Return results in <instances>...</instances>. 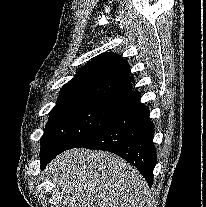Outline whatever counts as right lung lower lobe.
Masks as SVG:
<instances>
[{
  "mask_svg": "<svg viewBox=\"0 0 206 207\" xmlns=\"http://www.w3.org/2000/svg\"><path fill=\"white\" fill-rule=\"evenodd\" d=\"M128 97L130 103L118 117L73 147L105 150L121 156L140 171L151 187L157 160L152 142L154 125L149 119L148 107L140 102V93L131 91ZM69 148L42 154L41 168Z\"/></svg>",
  "mask_w": 206,
  "mask_h": 207,
  "instance_id": "1",
  "label": "right lung lower lobe"
}]
</instances>
